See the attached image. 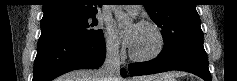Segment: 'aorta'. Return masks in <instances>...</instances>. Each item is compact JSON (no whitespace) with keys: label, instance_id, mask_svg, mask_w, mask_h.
Listing matches in <instances>:
<instances>
[{"label":"aorta","instance_id":"762f6f07","mask_svg":"<svg viewBox=\"0 0 237 81\" xmlns=\"http://www.w3.org/2000/svg\"><path fill=\"white\" fill-rule=\"evenodd\" d=\"M113 13L120 27H125L132 23V18H130L126 13H124L121 8H114Z\"/></svg>","mask_w":237,"mask_h":81}]
</instances>
